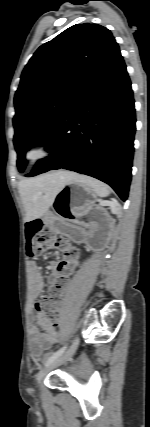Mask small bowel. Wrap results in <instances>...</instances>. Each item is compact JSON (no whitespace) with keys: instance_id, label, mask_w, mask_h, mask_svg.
I'll return each mask as SVG.
<instances>
[{"instance_id":"c3829d8e","label":"small bowel","mask_w":150,"mask_h":427,"mask_svg":"<svg viewBox=\"0 0 150 427\" xmlns=\"http://www.w3.org/2000/svg\"><path fill=\"white\" fill-rule=\"evenodd\" d=\"M60 262L52 261L50 268L53 273L50 276V282H53L58 276ZM32 281L36 291L41 292L44 289L45 283L35 262L30 263ZM30 337V352L33 356H39L43 351L49 349L57 342L58 335L54 327L49 325L44 316L39 313L37 315V326H31L29 329Z\"/></svg>"}]
</instances>
